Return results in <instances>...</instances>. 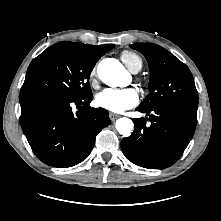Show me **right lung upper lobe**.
<instances>
[{
    "label": "right lung upper lobe",
    "instance_id": "1",
    "mask_svg": "<svg viewBox=\"0 0 221 221\" xmlns=\"http://www.w3.org/2000/svg\"><path fill=\"white\" fill-rule=\"evenodd\" d=\"M63 44H68L75 46L85 52L88 56L97 61L108 51L114 48L112 44L100 45V46H93L83 43H73V42H60Z\"/></svg>",
    "mask_w": 221,
    "mask_h": 221
}]
</instances>
